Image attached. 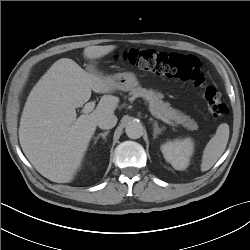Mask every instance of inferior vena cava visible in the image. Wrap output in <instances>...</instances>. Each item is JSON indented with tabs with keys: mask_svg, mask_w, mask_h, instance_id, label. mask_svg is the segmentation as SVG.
Wrapping results in <instances>:
<instances>
[{
	"mask_svg": "<svg viewBox=\"0 0 250 250\" xmlns=\"http://www.w3.org/2000/svg\"><path fill=\"white\" fill-rule=\"evenodd\" d=\"M116 123L117 117L114 114L103 115L97 121V125L101 129H111Z\"/></svg>",
	"mask_w": 250,
	"mask_h": 250,
	"instance_id": "inferior-vena-cava-1",
	"label": "inferior vena cava"
}]
</instances>
